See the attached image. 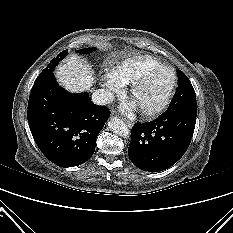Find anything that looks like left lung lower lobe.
Returning <instances> with one entry per match:
<instances>
[{
	"label": "left lung lower lobe",
	"mask_w": 233,
	"mask_h": 233,
	"mask_svg": "<svg viewBox=\"0 0 233 233\" xmlns=\"http://www.w3.org/2000/svg\"><path fill=\"white\" fill-rule=\"evenodd\" d=\"M197 109L166 110L131 131L128 155L141 170L158 172L174 165L186 152L193 136Z\"/></svg>",
	"instance_id": "obj_1"
}]
</instances>
